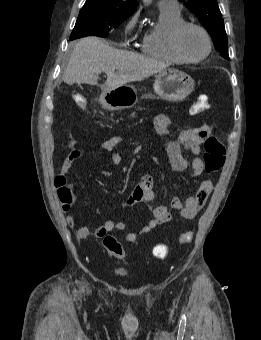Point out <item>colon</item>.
<instances>
[{
	"label": "colon",
	"instance_id": "colon-1",
	"mask_svg": "<svg viewBox=\"0 0 261 340\" xmlns=\"http://www.w3.org/2000/svg\"><path fill=\"white\" fill-rule=\"evenodd\" d=\"M82 107L84 101L78 102ZM210 107L208 98L205 95H201L195 101L191 107L192 114H199L204 112ZM226 149L223 142L215 136H210L205 140L204 143V169L207 173H214L219 171L226 159ZM55 186L57 189V195L59 201L62 204L63 210L67 211L71 205L75 202L74 187L67 179L60 175L55 179ZM192 239V233L190 231L184 232L180 235L179 241L182 244L189 243ZM103 246L107 252L118 258H125V250L123 246L113 236H105L103 238ZM169 247L165 244H157L152 250V254L156 259L164 260L169 255Z\"/></svg>",
	"mask_w": 261,
	"mask_h": 340
}]
</instances>
